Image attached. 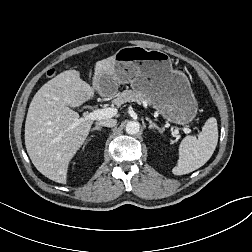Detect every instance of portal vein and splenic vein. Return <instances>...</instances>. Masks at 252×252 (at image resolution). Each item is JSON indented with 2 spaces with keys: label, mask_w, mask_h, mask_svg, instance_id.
<instances>
[{
  "label": "portal vein and splenic vein",
  "mask_w": 252,
  "mask_h": 252,
  "mask_svg": "<svg viewBox=\"0 0 252 252\" xmlns=\"http://www.w3.org/2000/svg\"><path fill=\"white\" fill-rule=\"evenodd\" d=\"M118 110L116 108H104V109H97L90 113H88L84 118L80 119L83 120H102L107 119L115 116ZM183 131L187 134L191 133V129L183 128Z\"/></svg>",
  "instance_id": "obj_1"
}]
</instances>
